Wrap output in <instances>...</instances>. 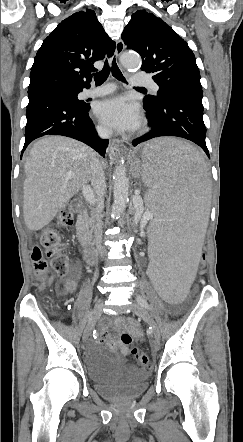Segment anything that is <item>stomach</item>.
Returning <instances> with one entry per match:
<instances>
[{"mask_svg": "<svg viewBox=\"0 0 243 442\" xmlns=\"http://www.w3.org/2000/svg\"><path fill=\"white\" fill-rule=\"evenodd\" d=\"M137 165H141L139 159H133V160H131L130 166H131V172H132V175H133V176H135V171H136V167H137ZM135 177H136V176H135Z\"/></svg>", "mask_w": 243, "mask_h": 442, "instance_id": "obj_1", "label": "stomach"}]
</instances>
